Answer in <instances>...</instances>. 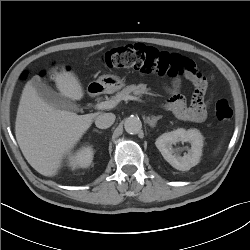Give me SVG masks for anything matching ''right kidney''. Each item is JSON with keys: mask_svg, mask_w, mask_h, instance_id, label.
Here are the masks:
<instances>
[{"mask_svg": "<svg viewBox=\"0 0 250 250\" xmlns=\"http://www.w3.org/2000/svg\"><path fill=\"white\" fill-rule=\"evenodd\" d=\"M93 160V149L90 146L82 147L74 154L69 155L68 165L73 170L77 168H87Z\"/></svg>", "mask_w": 250, "mask_h": 250, "instance_id": "right-kidney-1", "label": "right kidney"}]
</instances>
